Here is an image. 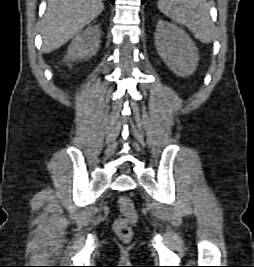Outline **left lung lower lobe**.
I'll return each instance as SVG.
<instances>
[{
	"instance_id": "0a47b994",
	"label": "left lung lower lobe",
	"mask_w": 254,
	"mask_h": 267,
	"mask_svg": "<svg viewBox=\"0 0 254 267\" xmlns=\"http://www.w3.org/2000/svg\"><path fill=\"white\" fill-rule=\"evenodd\" d=\"M146 0H142V3H144Z\"/></svg>"
}]
</instances>
